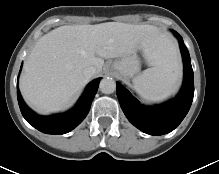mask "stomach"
<instances>
[{
  "label": "stomach",
  "instance_id": "stomach-1",
  "mask_svg": "<svg viewBox=\"0 0 219 174\" xmlns=\"http://www.w3.org/2000/svg\"><path fill=\"white\" fill-rule=\"evenodd\" d=\"M111 68L124 78H132L140 71V60L137 53L132 51L114 61Z\"/></svg>",
  "mask_w": 219,
  "mask_h": 174
}]
</instances>
